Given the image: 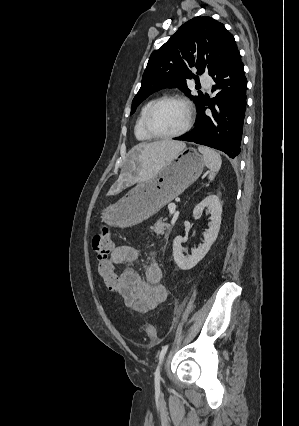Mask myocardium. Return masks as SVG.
<instances>
[{"instance_id": "1", "label": "myocardium", "mask_w": 299, "mask_h": 426, "mask_svg": "<svg viewBox=\"0 0 299 426\" xmlns=\"http://www.w3.org/2000/svg\"><path fill=\"white\" fill-rule=\"evenodd\" d=\"M165 102H178L181 103L182 105L185 106L186 110H187V120L185 125L177 132L174 133H170V134H161L156 132L151 125V118L153 113L155 112V110L163 103ZM193 119H194V110L193 107L191 105V103L189 102L188 99H186L183 96L180 95H167V96H163L160 97L158 99H156L148 108L145 117H144V129L147 132L148 135H150L152 138H157V139H172V138H177L180 137L182 135H184L185 133H187L192 124H193Z\"/></svg>"}]
</instances>
